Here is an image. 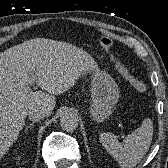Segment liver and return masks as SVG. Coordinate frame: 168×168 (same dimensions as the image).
<instances>
[{
  "label": "liver",
  "instance_id": "6515ba94",
  "mask_svg": "<svg viewBox=\"0 0 168 168\" xmlns=\"http://www.w3.org/2000/svg\"><path fill=\"white\" fill-rule=\"evenodd\" d=\"M90 70H98L93 58L62 41L35 38L0 53V159L19 136L29 110L51 115L55 95L68 91ZM32 76L45 92L31 90Z\"/></svg>",
  "mask_w": 168,
  "mask_h": 168
}]
</instances>
